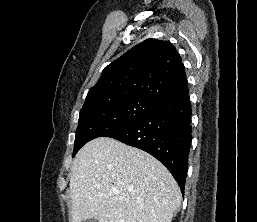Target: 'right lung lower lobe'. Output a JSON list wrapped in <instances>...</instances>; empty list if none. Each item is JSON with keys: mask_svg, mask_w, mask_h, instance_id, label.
<instances>
[{"mask_svg": "<svg viewBox=\"0 0 257 222\" xmlns=\"http://www.w3.org/2000/svg\"><path fill=\"white\" fill-rule=\"evenodd\" d=\"M188 92L159 103L131 126L109 136L146 151L171 172L184 192L192 140Z\"/></svg>", "mask_w": 257, "mask_h": 222, "instance_id": "1", "label": "right lung lower lobe"}]
</instances>
